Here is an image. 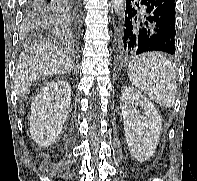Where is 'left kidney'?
Returning a JSON list of instances; mask_svg holds the SVG:
<instances>
[{"label": "left kidney", "instance_id": "5707ae66", "mask_svg": "<svg viewBox=\"0 0 197 181\" xmlns=\"http://www.w3.org/2000/svg\"><path fill=\"white\" fill-rule=\"evenodd\" d=\"M138 106L142 108V115ZM121 109L130 153L137 161L144 162L154 154L159 142L162 130L160 114L134 87H126L124 90Z\"/></svg>", "mask_w": 197, "mask_h": 181}]
</instances>
